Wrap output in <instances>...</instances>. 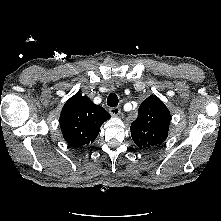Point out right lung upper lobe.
I'll list each match as a JSON object with an SVG mask.
<instances>
[{
    "instance_id": "cb5924a9",
    "label": "right lung upper lobe",
    "mask_w": 221,
    "mask_h": 221,
    "mask_svg": "<svg viewBox=\"0 0 221 221\" xmlns=\"http://www.w3.org/2000/svg\"><path fill=\"white\" fill-rule=\"evenodd\" d=\"M110 117L103 107L78 92L67 100L62 109L60 127L63 137L72 147L93 142L102 123Z\"/></svg>"
}]
</instances>
